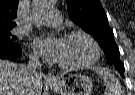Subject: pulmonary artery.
<instances>
[{
	"instance_id": "1",
	"label": "pulmonary artery",
	"mask_w": 135,
	"mask_h": 95,
	"mask_svg": "<svg viewBox=\"0 0 135 95\" xmlns=\"http://www.w3.org/2000/svg\"><path fill=\"white\" fill-rule=\"evenodd\" d=\"M62 20V14L58 10H50L43 18L45 24L52 26L60 25Z\"/></svg>"
}]
</instances>
